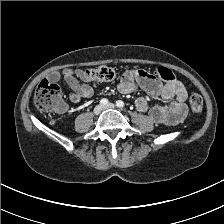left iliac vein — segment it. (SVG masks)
<instances>
[{
  "label": "left iliac vein",
  "instance_id": "1",
  "mask_svg": "<svg viewBox=\"0 0 224 224\" xmlns=\"http://www.w3.org/2000/svg\"><path fill=\"white\" fill-rule=\"evenodd\" d=\"M103 108L104 109H114L115 108V104L109 103V104L105 105Z\"/></svg>",
  "mask_w": 224,
  "mask_h": 224
}]
</instances>
